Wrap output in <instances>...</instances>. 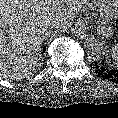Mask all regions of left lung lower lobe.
I'll return each instance as SVG.
<instances>
[{
	"instance_id": "left-lung-lower-lobe-1",
	"label": "left lung lower lobe",
	"mask_w": 118,
	"mask_h": 118,
	"mask_svg": "<svg viewBox=\"0 0 118 118\" xmlns=\"http://www.w3.org/2000/svg\"><path fill=\"white\" fill-rule=\"evenodd\" d=\"M96 74L112 82H118V70L110 68L106 62H103L101 66H96Z\"/></svg>"
}]
</instances>
